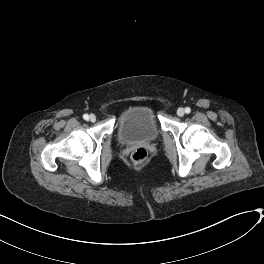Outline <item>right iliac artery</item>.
Listing matches in <instances>:
<instances>
[{
	"label": "right iliac artery",
	"mask_w": 264,
	"mask_h": 264,
	"mask_svg": "<svg viewBox=\"0 0 264 264\" xmlns=\"http://www.w3.org/2000/svg\"><path fill=\"white\" fill-rule=\"evenodd\" d=\"M83 118H84V120H88V118H89L88 114H84Z\"/></svg>",
	"instance_id": "right-iliac-artery-1"
}]
</instances>
